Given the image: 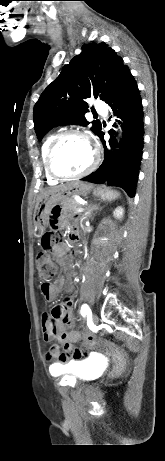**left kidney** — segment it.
<instances>
[{"mask_svg": "<svg viewBox=\"0 0 165 461\" xmlns=\"http://www.w3.org/2000/svg\"><path fill=\"white\" fill-rule=\"evenodd\" d=\"M123 214L124 208H122L121 206L117 207L113 212V216L117 219H121L123 217Z\"/></svg>", "mask_w": 165, "mask_h": 461, "instance_id": "left-kidney-1", "label": "left kidney"}]
</instances>
